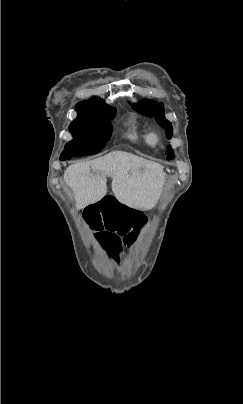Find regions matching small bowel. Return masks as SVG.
Masks as SVG:
<instances>
[{"instance_id":"small-bowel-1","label":"small bowel","mask_w":243,"mask_h":404,"mask_svg":"<svg viewBox=\"0 0 243 404\" xmlns=\"http://www.w3.org/2000/svg\"><path fill=\"white\" fill-rule=\"evenodd\" d=\"M84 220L98 243L113 257L139 238L144 227L141 213L118 196L106 193L84 210Z\"/></svg>"}]
</instances>
